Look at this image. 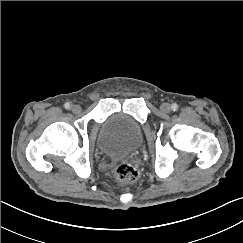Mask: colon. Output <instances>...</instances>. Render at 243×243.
Instances as JSON below:
<instances>
[{
    "instance_id": "obj_1",
    "label": "colon",
    "mask_w": 243,
    "mask_h": 243,
    "mask_svg": "<svg viewBox=\"0 0 243 243\" xmlns=\"http://www.w3.org/2000/svg\"><path fill=\"white\" fill-rule=\"evenodd\" d=\"M114 177L121 182L133 183L138 180L139 172L131 164H121L113 171Z\"/></svg>"
}]
</instances>
